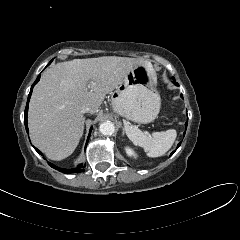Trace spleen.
<instances>
[{
	"label": "spleen",
	"mask_w": 240,
	"mask_h": 240,
	"mask_svg": "<svg viewBox=\"0 0 240 240\" xmlns=\"http://www.w3.org/2000/svg\"><path fill=\"white\" fill-rule=\"evenodd\" d=\"M124 126L128 138L134 145L142 147L149 157L164 155L172 147L177 136L174 129L154 132L150 135L129 122H126Z\"/></svg>",
	"instance_id": "3e777b00"
}]
</instances>
